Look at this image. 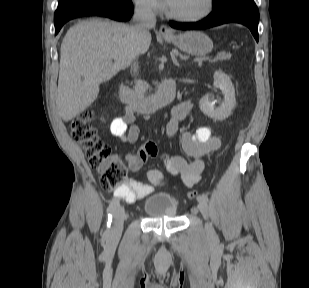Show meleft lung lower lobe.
Returning a JSON list of instances; mask_svg holds the SVG:
<instances>
[{
  "label": "left lung lower lobe",
  "mask_w": 309,
  "mask_h": 288,
  "mask_svg": "<svg viewBox=\"0 0 309 288\" xmlns=\"http://www.w3.org/2000/svg\"><path fill=\"white\" fill-rule=\"evenodd\" d=\"M236 22L247 26L258 42L259 13L253 0H229L214 9L207 18L194 23L170 22L171 27L182 30L206 29Z\"/></svg>",
  "instance_id": "obj_1"
}]
</instances>
